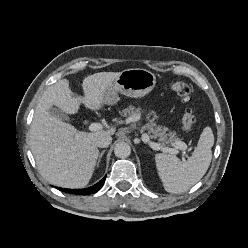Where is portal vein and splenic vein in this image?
<instances>
[{"label": "portal vein and splenic vein", "instance_id": "1", "mask_svg": "<svg viewBox=\"0 0 248 248\" xmlns=\"http://www.w3.org/2000/svg\"><path fill=\"white\" fill-rule=\"evenodd\" d=\"M102 129H103V126L101 123H92L89 125V130L92 132L99 131ZM142 140L145 143H148L149 146L154 150H157V151L162 150L165 152H170L171 154H178L177 149H180V150H186L187 149V145L184 142L183 143H177L176 145H174L175 148H164L162 145L150 141V138L147 134L142 135Z\"/></svg>", "mask_w": 248, "mask_h": 248}]
</instances>
